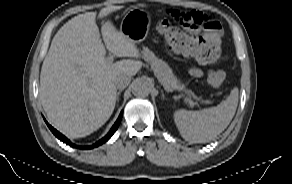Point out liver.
I'll return each instance as SVG.
<instances>
[{
    "instance_id": "liver-1",
    "label": "liver",
    "mask_w": 292,
    "mask_h": 184,
    "mask_svg": "<svg viewBox=\"0 0 292 184\" xmlns=\"http://www.w3.org/2000/svg\"><path fill=\"white\" fill-rule=\"evenodd\" d=\"M103 8L99 18L119 10ZM96 12H86L65 23L54 36L43 61L39 97L50 123L71 138L90 135L112 115L117 89L115 80L135 75L139 60L108 63L96 24ZM107 49L118 57L139 58L135 43L111 22L101 28Z\"/></svg>"
}]
</instances>
